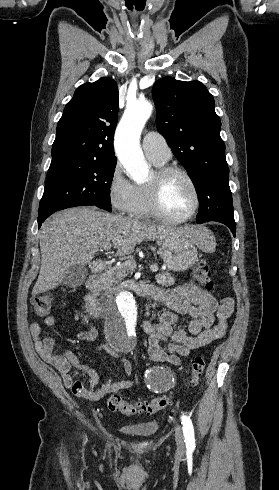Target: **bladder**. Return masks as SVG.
Returning <instances> with one entry per match:
<instances>
[{
	"mask_svg": "<svg viewBox=\"0 0 279 490\" xmlns=\"http://www.w3.org/2000/svg\"><path fill=\"white\" fill-rule=\"evenodd\" d=\"M131 437H151L158 430L157 421H141L121 428Z\"/></svg>",
	"mask_w": 279,
	"mask_h": 490,
	"instance_id": "1",
	"label": "bladder"
}]
</instances>
